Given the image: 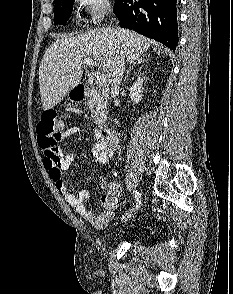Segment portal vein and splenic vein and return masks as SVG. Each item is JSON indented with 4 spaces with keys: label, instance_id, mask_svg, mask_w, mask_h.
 I'll return each mask as SVG.
<instances>
[{
    "label": "portal vein and splenic vein",
    "instance_id": "1",
    "mask_svg": "<svg viewBox=\"0 0 233 294\" xmlns=\"http://www.w3.org/2000/svg\"><path fill=\"white\" fill-rule=\"evenodd\" d=\"M85 66H96L99 65V63H96L93 59H85L84 60ZM106 83V75L105 74H99L96 76V84L98 86H103Z\"/></svg>",
    "mask_w": 233,
    "mask_h": 294
}]
</instances>
